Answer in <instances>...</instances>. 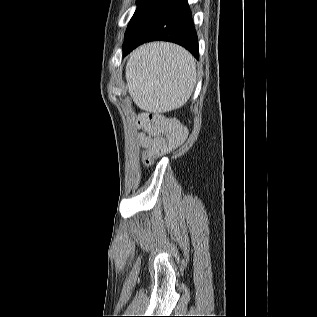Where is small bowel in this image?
<instances>
[{
    "instance_id": "1",
    "label": "small bowel",
    "mask_w": 317,
    "mask_h": 317,
    "mask_svg": "<svg viewBox=\"0 0 317 317\" xmlns=\"http://www.w3.org/2000/svg\"><path fill=\"white\" fill-rule=\"evenodd\" d=\"M140 143L143 147L148 148L152 145L153 140L150 137H147L145 135H140L139 137Z\"/></svg>"
}]
</instances>
